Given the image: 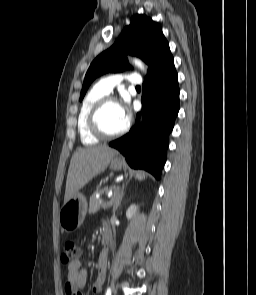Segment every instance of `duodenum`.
<instances>
[{
	"mask_svg": "<svg viewBox=\"0 0 256 295\" xmlns=\"http://www.w3.org/2000/svg\"><path fill=\"white\" fill-rule=\"evenodd\" d=\"M103 238H104L105 241L108 240V228L107 227L104 228Z\"/></svg>",
	"mask_w": 256,
	"mask_h": 295,
	"instance_id": "410a0bca",
	"label": "duodenum"
}]
</instances>
